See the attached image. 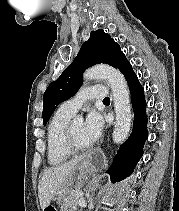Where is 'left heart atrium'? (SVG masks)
I'll return each instance as SVG.
<instances>
[{"label":"left heart atrium","mask_w":179,"mask_h":211,"mask_svg":"<svg viewBox=\"0 0 179 211\" xmlns=\"http://www.w3.org/2000/svg\"><path fill=\"white\" fill-rule=\"evenodd\" d=\"M104 129V120L100 113L91 111L84 122V134L90 143L97 141Z\"/></svg>","instance_id":"39dd6f15"}]
</instances>
